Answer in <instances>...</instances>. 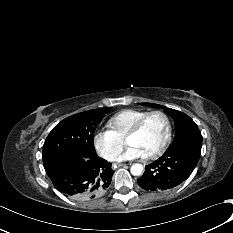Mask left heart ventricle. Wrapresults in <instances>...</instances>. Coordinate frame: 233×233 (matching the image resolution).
Listing matches in <instances>:
<instances>
[{"mask_svg":"<svg viewBox=\"0 0 233 233\" xmlns=\"http://www.w3.org/2000/svg\"><path fill=\"white\" fill-rule=\"evenodd\" d=\"M166 135V122L161 115L150 116L141 130L128 138L127 144L138 147L144 155L153 152L160 146Z\"/></svg>","mask_w":233,"mask_h":233,"instance_id":"left-heart-ventricle-1","label":"left heart ventricle"}]
</instances>
